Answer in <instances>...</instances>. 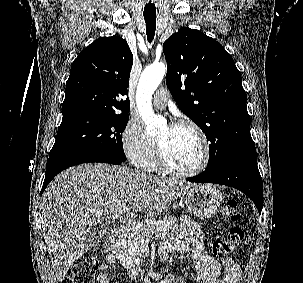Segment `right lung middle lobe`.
<instances>
[{
  "instance_id": "dd1d6c3e",
  "label": "right lung middle lobe",
  "mask_w": 303,
  "mask_h": 283,
  "mask_svg": "<svg viewBox=\"0 0 303 283\" xmlns=\"http://www.w3.org/2000/svg\"><path fill=\"white\" fill-rule=\"evenodd\" d=\"M129 116L77 113L62 118L49 158L68 154H98L122 161L121 133Z\"/></svg>"
}]
</instances>
